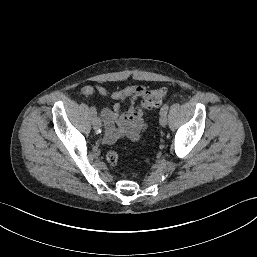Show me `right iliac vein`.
I'll return each mask as SVG.
<instances>
[{"mask_svg": "<svg viewBox=\"0 0 257 257\" xmlns=\"http://www.w3.org/2000/svg\"><path fill=\"white\" fill-rule=\"evenodd\" d=\"M101 125H102V122L100 120L99 117H96L94 120H93V128L98 132L99 129L101 128Z\"/></svg>", "mask_w": 257, "mask_h": 257, "instance_id": "right-iliac-vein-1", "label": "right iliac vein"}]
</instances>
